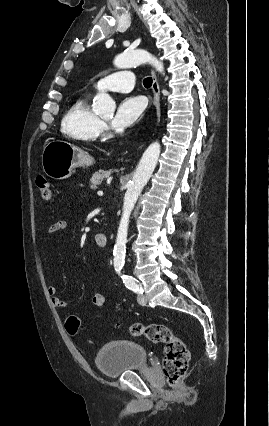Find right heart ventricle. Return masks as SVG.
I'll return each mask as SVG.
<instances>
[{"label": "right heart ventricle", "instance_id": "right-heart-ventricle-1", "mask_svg": "<svg viewBox=\"0 0 269 426\" xmlns=\"http://www.w3.org/2000/svg\"><path fill=\"white\" fill-rule=\"evenodd\" d=\"M101 121L91 110L87 96L77 99L62 120V131L78 140L94 141L100 134Z\"/></svg>", "mask_w": 269, "mask_h": 426}]
</instances>
